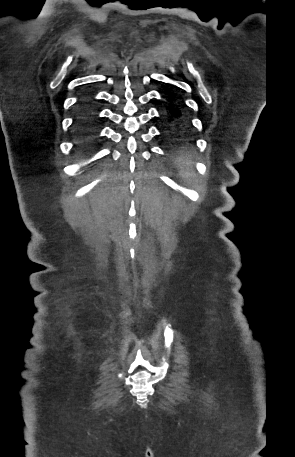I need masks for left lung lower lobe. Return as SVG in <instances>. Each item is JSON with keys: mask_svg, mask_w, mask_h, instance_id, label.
Segmentation results:
<instances>
[{"mask_svg": "<svg viewBox=\"0 0 295 457\" xmlns=\"http://www.w3.org/2000/svg\"><path fill=\"white\" fill-rule=\"evenodd\" d=\"M165 99L167 110L164 114V135L173 147L189 145V122L181 110V104L173 92L166 90Z\"/></svg>", "mask_w": 295, "mask_h": 457, "instance_id": "0a47b994", "label": "left lung lower lobe"}]
</instances>
